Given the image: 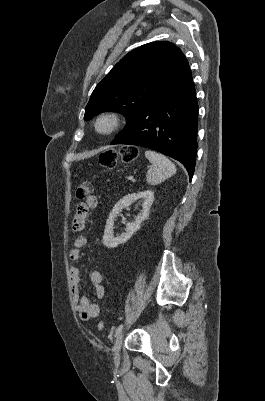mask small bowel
<instances>
[{
    "label": "small bowel",
    "mask_w": 265,
    "mask_h": 401,
    "mask_svg": "<svg viewBox=\"0 0 265 401\" xmlns=\"http://www.w3.org/2000/svg\"><path fill=\"white\" fill-rule=\"evenodd\" d=\"M98 206V198L90 196L84 202L78 204L76 213L72 221V228L75 232H81L86 223L90 210ZM87 244V237L83 234L78 235L73 241V247L69 252V258L77 261L80 258V251ZM90 282L98 298H104L106 294L103 285V275L97 270H93L89 275ZM70 281L73 294L74 307L80 319L86 321L95 318L100 314V305L92 302L88 297L80 295V271L76 266L70 268Z\"/></svg>",
    "instance_id": "obj_1"
}]
</instances>
